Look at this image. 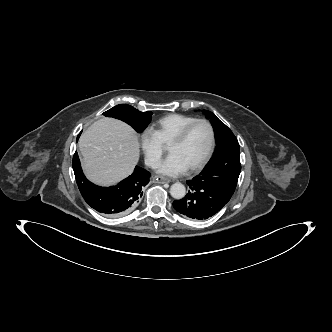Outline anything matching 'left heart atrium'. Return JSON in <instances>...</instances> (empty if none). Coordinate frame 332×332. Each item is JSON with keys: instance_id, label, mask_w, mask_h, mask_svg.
Listing matches in <instances>:
<instances>
[{"instance_id": "39dd6f15", "label": "left heart atrium", "mask_w": 332, "mask_h": 332, "mask_svg": "<svg viewBox=\"0 0 332 332\" xmlns=\"http://www.w3.org/2000/svg\"><path fill=\"white\" fill-rule=\"evenodd\" d=\"M188 170L187 165L176 154L170 153L158 166L157 172L166 176H178Z\"/></svg>"}]
</instances>
